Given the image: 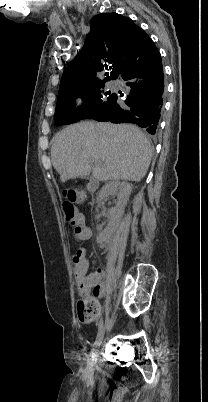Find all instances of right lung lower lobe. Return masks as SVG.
<instances>
[{
    "instance_id": "98d812e1",
    "label": "right lung lower lobe",
    "mask_w": 208,
    "mask_h": 402,
    "mask_svg": "<svg viewBox=\"0 0 208 402\" xmlns=\"http://www.w3.org/2000/svg\"><path fill=\"white\" fill-rule=\"evenodd\" d=\"M118 77L130 87L129 94H115L111 109L96 113L92 119L137 124L155 134L163 110L164 73L160 53L146 33L124 59Z\"/></svg>"
}]
</instances>
